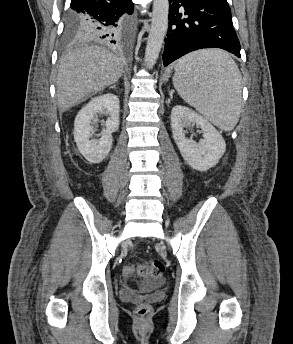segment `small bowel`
<instances>
[{"label": "small bowel", "instance_id": "obj_1", "mask_svg": "<svg viewBox=\"0 0 293 344\" xmlns=\"http://www.w3.org/2000/svg\"><path fill=\"white\" fill-rule=\"evenodd\" d=\"M126 279L130 278L128 276H125ZM121 297L126 299V300H133L135 299L136 297V294L135 292L129 288V287H124L122 290H121Z\"/></svg>", "mask_w": 293, "mask_h": 344}]
</instances>
